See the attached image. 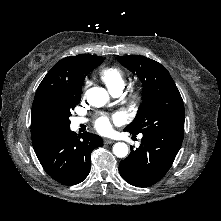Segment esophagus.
Wrapping results in <instances>:
<instances>
[{
    "instance_id": "esophagus-1",
    "label": "esophagus",
    "mask_w": 221,
    "mask_h": 221,
    "mask_svg": "<svg viewBox=\"0 0 221 221\" xmlns=\"http://www.w3.org/2000/svg\"><path fill=\"white\" fill-rule=\"evenodd\" d=\"M103 141H104L105 144H112V143L115 142L114 140L108 139V138H105Z\"/></svg>"
}]
</instances>
